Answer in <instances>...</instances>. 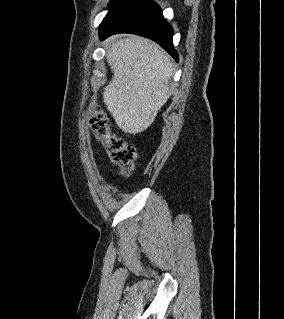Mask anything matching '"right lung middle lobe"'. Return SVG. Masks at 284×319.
I'll list each match as a JSON object with an SVG mask.
<instances>
[{
    "label": "right lung middle lobe",
    "mask_w": 284,
    "mask_h": 319,
    "mask_svg": "<svg viewBox=\"0 0 284 319\" xmlns=\"http://www.w3.org/2000/svg\"><path fill=\"white\" fill-rule=\"evenodd\" d=\"M138 0H113L110 3L109 12L100 24L99 30L109 26L114 20H116L121 14L127 11Z\"/></svg>",
    "instance_id": "dd1d6c3e"
}]
</instances>
